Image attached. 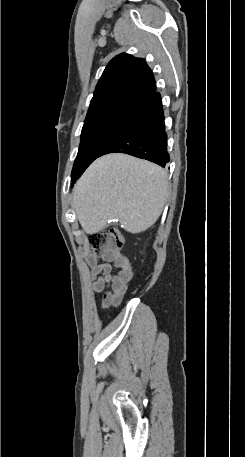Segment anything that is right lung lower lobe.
Here are the masks:
<instances>
[{
	"label": "right lung lower lobe",
	"mask_w": 245,
	"mask_h": 457,
	"mask_svg": "<svg viewBox=\"0 0 245 457\" xmlns=\"http://www.w3.org/2000/svg\"><path fill=\"white\" fill-rule=\"evenodd\" d=\"M120 152L157 163L169 162L161 97L153 92L135 104L99 156Z\"/></svg>",
	"instance_id": "98d812e1"
}]
</instances>
